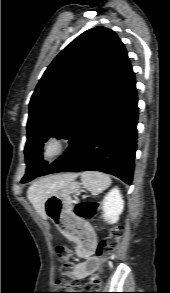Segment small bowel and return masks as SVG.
Segmentation results:
<instances>
[{
    "label": "small bowel",
    "instance_id": "obj_1",
    "mask_svg": "<svg viewBox=\"0 0 170 293\" xmlns=\"http://www.w3.org/2000/svg\"><path fill=\"white\" fill-rule=\"evenodd\" d=\"M70 241L76 246L78 253L86 256L85 260L78 262L74 266V275L81 279H95L100 268L99 259L96 256H90L89 251L81 244L78 238L71 237Z\"/></svg>",
    "mask_w": 170,
    "mask_h": 293
}]
</instances>
